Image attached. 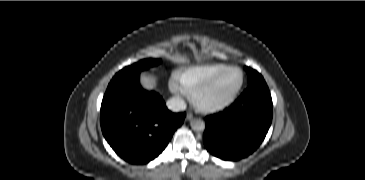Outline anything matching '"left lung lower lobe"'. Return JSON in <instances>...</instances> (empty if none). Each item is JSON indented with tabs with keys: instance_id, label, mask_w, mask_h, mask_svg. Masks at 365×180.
Listing matches in <instances>:
<instances>
[{
	"instance_id": "1",
	"label": "left lung lower lobe",
	"mask_w": 365,
	"mask_h": 180,
	"mask_svg": "<svg viewBox=\"0 0 365 180\" xmlns=\"http://www.w3.org/2000/svg\"><path fill=\"white\" fill-rule=\"evenodd\" d=\"M203 141L223 160H239L254 152L272 121V98L265 81L249 85L229 107L207 116Z\"/></svg>"
}]
</instances>
